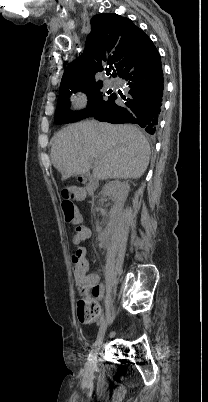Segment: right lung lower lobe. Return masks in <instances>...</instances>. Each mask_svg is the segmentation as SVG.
Returning <instances> with one entry per match:
<instances>
[{
	"label": "right lung lower lobe",
	"instance_id": "1",
	"mask_svg": "<svg viewBox=\"0 0 208 402\" xmlns=\"http://www.w3.org/2000/svg\"><path fill=\"white\" fill-rule=\"evenodd\" d=\"M117 75L127 81L128 96L121 95L124 102H118L115 94L110 109L93 117L113 124H136L154 134L162 111L164 78L159 52L145 33L122 60Z\"/></svg>",
	"mask_w": 208,
	"mask_h": 402
}]
</instances>
